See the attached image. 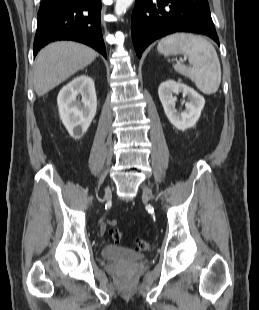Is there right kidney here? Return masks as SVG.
I'll list each match as a JSON object with an SVG mask.
<instances>
[{
  "mask_svg": "<svg viewBox=\"0 0 259 310\" xmlns=\"http://www.w3.org/2000/svg\"><path fill=\"white\" fill-rule=\"evenodd\" d=\"M79 96L82 99H79ZM57 104L60 119L70 136L78 139L86 133L97 110V97L91 77L80 75L59 92Z\"/></svg>",
  "mask_w": 259,
  "mask_h": 310,
  "instance_id": "ca27d5eb",
  "label": "right kidney"
}]
</instances>
